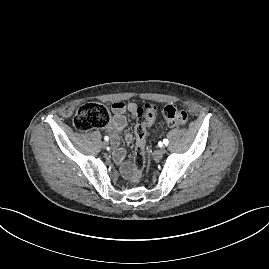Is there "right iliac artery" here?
I'll return each instance as SVG.
<instances>
[{
  "mask_svg": "<svg viewBox=\"0 0 269 269\" xmlns=\"http://www.w3.org/2000/svg\"><path fill=\"white\" fill-rule=\"evenodd\" d=\"M104 140H105V141H108V140H109V137H108V136H105V137H104Z\"/></svg>",
  "mask_w": 269,
  "mask_h": 269,
  "instance_id": "1",
  "label": "right iliac artery"
}]
</instances>
